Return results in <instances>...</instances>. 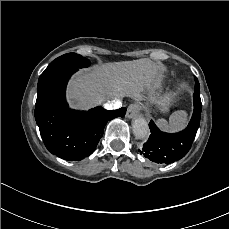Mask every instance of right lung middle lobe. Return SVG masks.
<instances>
[{
    "label": "right lung middle lobe",
    "instance_id": "dd1d6c3e",
    "mask_svg": "<svg viewBox=\"0 0 229 229\" xmlns=\"http://www.w3.org/2000/svg\"><path fill=\"white\" fill-rule=\"evenodd\" d=\"M90 65V61L81 55L76 53H68L64 54L55 60H53L48 67L44 70V72L40 75L39 78H43L50 73H53L59 69L63 68H84Z\"/></svg>",
    "mask_w": 229,
    "mask_h": 229
}]
</instances>
